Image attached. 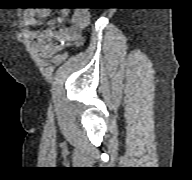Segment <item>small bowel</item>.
I'll return each instance as SVG.
<instances>
[{
    "label": "small bowel",
    "instance_id": "c3829d8e",
    "mask_svg": "<svg viewBox=\"0 0 192 180\" xmlns=\"http://www.w3.org/2000/svg\"><path fill=\"white\" fill-rule=\"evenodd\" d=\"M50 13L47 8L28 9L24 12V21L28 26H33L39 18L46 17ZM67 17V11H60L55 19V25L42 31L28 30L24 36L35 42L36 48L45 55L53 54L64 48L65 45H79L83 39V32L89 23V16L85 12H75L67 27L62 23Z\"/></svg>",
    "mask_w": 192,
    "mask_h": 180
}]
</instances>
